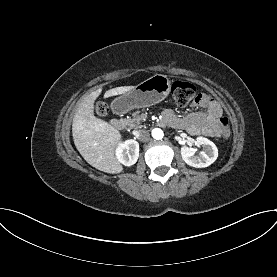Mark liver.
I'll list each match as a JSON object with an SVG mask.
<instances>
[{"mask_svg": "<svg viewBox=\"0 0 277 277\" xmlns=\"http://www.w3.org/2000/svg\"><path fill=\"white\" fill-rule=\"evenodd\" d=\"M134 86H121L106 91L105 97L125 94ZM102 92L99 88L87 95L79 104L72 123V135L77 150L94 168L117 174L123 167L115 156L121 140L120 132L108 122L94 116V103Z\"/></svg>", "mask_w": 277, "mask_h": 277, "instance_id": "obj_1", "label": "liver"}]
</instances>
